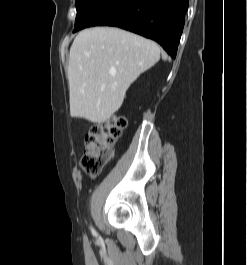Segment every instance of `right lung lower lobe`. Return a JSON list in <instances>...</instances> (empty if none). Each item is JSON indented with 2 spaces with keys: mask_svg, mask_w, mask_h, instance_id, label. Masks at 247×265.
<instances>
[{
  "mask_svg": "<svg viewBox=\"0 0 247 265\" xmlns=\"http://www.w3.org/2000/svg\"><path fill=\"white\" fill-rule=\"evenodd\" d=\"M188 0H99L75 26H117L157 41L173 58Z\"/></svg>",
  "mask_w": 247,
  "mask_h": 265,
  "instance_id": "right-lung-lower-lobe-1",
  "label": "right lung lower lobe"
}]
</instances>
